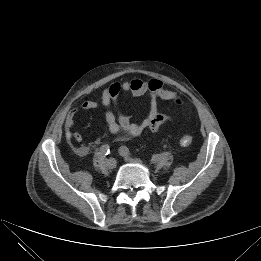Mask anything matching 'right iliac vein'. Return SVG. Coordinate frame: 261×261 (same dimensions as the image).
Returning a JSON list of instances; mask_svg holds the SVG:
<instances>
[{"label":"right iliac vein","instance_id":"1","mask_svg":"<svg viewBox=\"0 0 261 261\" xmlns=\"http://www.w3.org/2000/svg\"><path fill=\"white\" fill-rule=\"evenodd\" d=\"M107 167L109 168V169H114V168H116V166H117V161H116V159H114V158H110V159H108L107 160Z\"/></svg>","mask_w":261,"mask_h":261}]
</instances>
